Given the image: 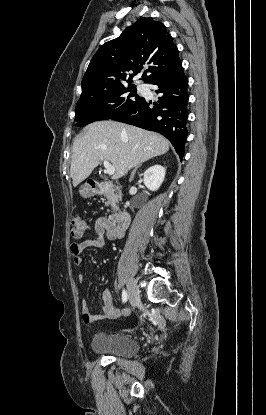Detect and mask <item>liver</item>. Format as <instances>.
<instances>
[{"mask_svg":"<svg viewBox=\"0 0 266 415\" xmlns=\"http://www.w3.org/2000/svg\"><path fill=\"white\" fill-rule=\"evenodd\" d=\"M169 141L155 132L104 120L89 124L73 142L70 173L76 187L102 161L115 168L113 179L151 158L168 152Z\"/></svg>","mask_w":266,"mask_h":415,"instance_id":"liver-1","label":"liver"}]
</instances>
